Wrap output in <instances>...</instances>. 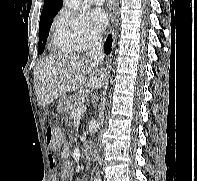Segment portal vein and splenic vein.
I'll return each instance as SVG.
<instances>
[{
	"label": "portal vein and splenic vein",
	"instance_id": "obj_1",
	"mask_svg": "<svg viewBox=\"0 0 197 181\" xmlns=\"http://www.w3.org/2000/svg\"><path fill=\"white\" fill-rule=\"evenodd\" d=\"M86 109L87 108L84 104L79 106L78 109H77V112H76V116H82L85 113Z\"/></svg>",
	"mask_w": 197,
	"mask_h": 181
}]
</instances>
